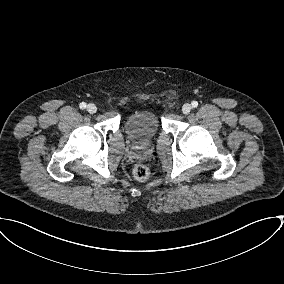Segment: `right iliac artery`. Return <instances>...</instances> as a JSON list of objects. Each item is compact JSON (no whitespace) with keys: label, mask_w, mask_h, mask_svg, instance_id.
<instances>
[{"label":"right iliac artery","mask_w":284,"mask_h":284,"mask_svg":"<svg viewBox=\"0 0 284 284\" xmlns=\"http://www.w3.org/2000/svg\"><path fill=\"white\" fill-rule=\"evenodd\" d=\"M79 107L81 109H85L86 108V103L85 102L80 103Z\"/></svg>","instance_id":"obj_1"}]
</instances>
